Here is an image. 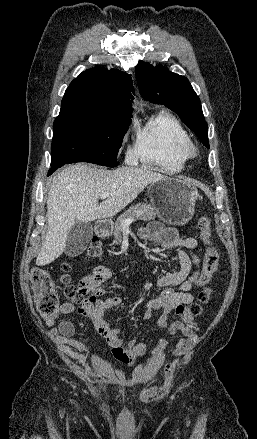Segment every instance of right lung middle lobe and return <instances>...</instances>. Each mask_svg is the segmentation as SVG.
<instances>
[{
  "label": "right lung middle lobe",
  "instance_id": "dd1d6c3e",
  "mask_svg": "<svg viewBox=\"0 0 257 439\" xmlns=\"http://www.w3.org/2000/svg\"><path fill=\"white\" fill-rule=\"evenodd\" d=\"M131 117L132 114L115 117L92 113L58 116L53 124L51 166L85 161L116 167Z\"/></svg>",
  "mask_w": 257,
  "mask_h": 439
}]
</instances>
